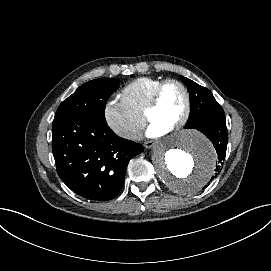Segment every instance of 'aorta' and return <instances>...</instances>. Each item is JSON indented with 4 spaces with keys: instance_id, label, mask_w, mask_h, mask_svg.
<instances>
[{
    "instance_id": "aorta-1",
    "label": "aorta",
    "mask_w": 271,
    "mask_h": 271,
    "mask_svg": "<svg viewBox=\"0 0 271 271\" xmlns=\"http://www.w3.org/2000/svg\"><path fill=\"white\" fill-rule=\"evenodd\" d=\"M151 157L159 178L180 195L199 192L214 174L217 159L210 141L195 130H181L159 141Z\"/></svg>"
}]
</instances>
